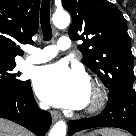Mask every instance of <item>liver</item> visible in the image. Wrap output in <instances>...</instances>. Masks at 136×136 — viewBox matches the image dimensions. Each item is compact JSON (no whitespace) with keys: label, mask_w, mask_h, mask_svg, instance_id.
<instances>
[{"label":"liver","mask_w":136,"mask_h":136,"mask_svg":"<svg viewBox=\"0 0 136 136\" xmlns=\"http://www.w3.org/2000/svg\"><path fill=\"white\" fill-rule=\"evenodd\" d=\"M0 136H32L23 127L0 118Z\"/></svg>","instance_id":"1"}]
</instances>
